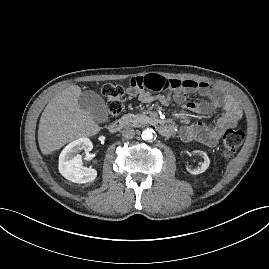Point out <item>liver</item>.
Here are the masks:
<instances>
[{
    "label": "liver",
    "mask_w": 269,
    "mask_h": 269,
    "mask_svg": "<svg viewBox=\"0 0 269 269\" xmlns=\"http://www.w3.org/2000/svg\"><path fill=\"white\" fill-rule=\"evenodd\" d=\"M81 88L70 85L45 107L39 122L38 143L44 155L80 137L96 135L101 128L88 111L78 105Z\"/></svg>",
    "instance_id": "6515ba94"
}]
</instances>
